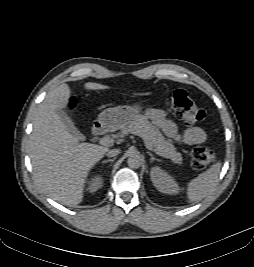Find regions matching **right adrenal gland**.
<instances>
[{
	"label": "right adrenal gland",
	"instance_id": "obj_1",
	"mask_svg": "<svg viewBox=\"0 0 254 267\" xmlns=\"http://www.w3.org/2000/svg\"><path fill=\"white\" fill-rule=\"evenodd\" d=\"M115 159H116V157H114L113 159H107V160H104V161H103V164H104V163H108V162H114Z\"/></svg>",
	"mask_w": 254,
	"mask_h": 267
}]
</instances>
